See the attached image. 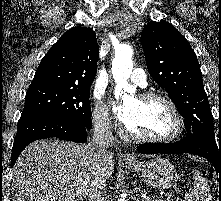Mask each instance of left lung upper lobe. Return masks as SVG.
Instances as JSON below:
<instances>
[{"instance_id": "left-lung-upper-lobe-1", "label": "left lung upper lobe", "mask_w": 221, "mask_h": 201, "mask_svg": "<svg viewBox=\"0 0 221 201\" xmlns=\"http://www.w3.org/2000/svg\"><path fill=\"white\" fill-rule=\"evenodd\" d=\"M141 44L150 75L176 105L187 133H202L216 142L202 73L187 39L172 24L151 21L142 31Z\"/></svg>"}]
</instances>
